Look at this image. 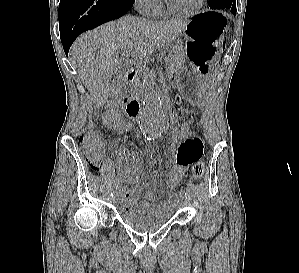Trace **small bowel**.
<instances>
[{"label":"small bowel","mask_w":299,"mask_h":273,"mask_svg":"<svg viewBox=\"0 0 299 273\" xmlns=\"http://www.w3.org/2000/svg\"><path fill=\"white\" fill-rule=\"evenodd\" d=\"M103 121L106 127L115 131H134L133 125L124 121L120 113L114 108L106 111ZM203 150L202 141L194 134L183 142L176 144L175 156L173 159L168 160L166 164L168 174L165 188L167 191H172L185 175L187 168L200 160ZM119 155L122 159L133 161L130 164L118 163L114 169L121 209L137 215L148 216L156 210L172 209L174 207L175 196L161 198L151 191L146 193L143 201L138 205L142 186L138 185L130 189L126 186L137 182L143 162L135 153L126 148H121Z\"/></svg>","instance_id":"c3829d8e"}]
</instances>
